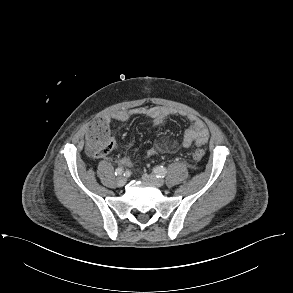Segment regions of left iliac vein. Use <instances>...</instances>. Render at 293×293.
<instances>
[{
    "mask_svg": "<svg viewBox=\"0 0 293 293\" xmlns=\"http://www.w3.org/2000/svg\"><path fill=\"white\" fill-rule=\"evenodd\" d=\"M142 179L156 187H162L164 185V180L154 174H144Z\"/></svg>",
    "mask_w": 293,
    "mask_h": 293,
    "instance_id": "obj_1",
    "label": "left iliac vein"
}]
</instances>
